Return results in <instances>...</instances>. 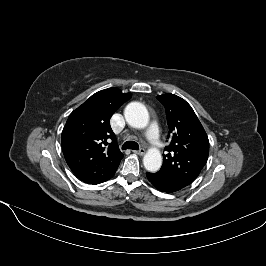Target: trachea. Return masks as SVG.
<instances>
[{
  "label": "trachea",
  "mask_w": 266,
  "mask_h": 266,
  "mask_svg": "<svg viewBox=\"0 0 266 266\" xmlns=\"http://www.w3.org/2000/svg\"><path fill=\"white\" fill-rule=\"evenodd\" d=\"M126 149L138 150L139 145L135 141H126L122 146V150H126Z\"/></svg>",
  "instance_id": "3493384b"
}]
</instances>
